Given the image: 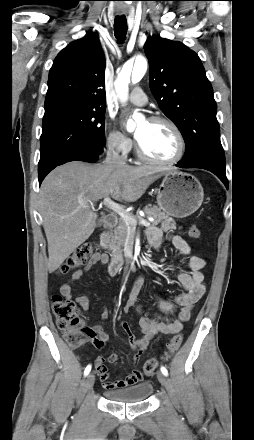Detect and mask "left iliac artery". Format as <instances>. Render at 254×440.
I'll return each instance as SVG.
<instances>
[{"mask_svg": "<svg viewBox=\"0 0 254 440\" xmlns=\"http://www.w3.org/2000/svg\"><path fill=\"white\" fill-rule=\"evenodd\" d=\"M161 372H162L165 376L168 375V371H167V369H166L164 366H161Z\"/></svg>", "mask_w": 254, "mask_h": 440, "instance_id": "obj_1", "label": "left iliac artery"}]
</instances>
